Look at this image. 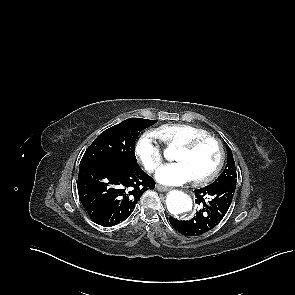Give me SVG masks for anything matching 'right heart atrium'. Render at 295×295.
I'll use <instances>...</instances> for the list:
<instances>
[{"label": "right heart atrium", "instance_id": "obj_1", "mask_svg": "<svg viewBox=\"0 0 295 295\" xmlns=\"http://www.w3.org/2000/svg\"><path fill=\"white\" fill-rule=\"evenodd\" d=\"M158 137L152 131L145 132L137 141L135 154L138 161L150 173L156 171L163 161Z\"/></svg>", "mask_w": 295, "mask_h": 295}]
</instances>
